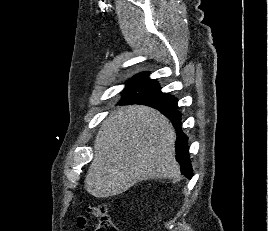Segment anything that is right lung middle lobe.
<instances>
[{
	"instance_id": "1",
	"label": "right lung middle lobe",
	"mask_w": 268,
	"mask_h": 231,
	"mask_svg": "<svg viewBox=\"0 0 268 231\" xmlns=\"http://www.w3.org/2000/svg\"><path fill=\"white\" fill-rule=\"evenodd\" d=\"M124 93L177 106V99L167 93H162L160 86L154 83L141 85L132 89H125Z\"/></svg>"
}]
</instances>
